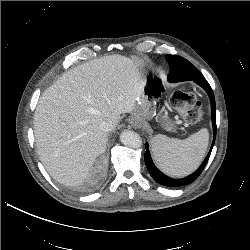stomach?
<instances>
[{
    "label": "stomach",
    "mask_w": 250,
    "mask_h": 250,
    "mask_svg": "<svg viewBox=\"0 0 250 250\" xmlns=\"http://www.w3.org/2000/svg\"><path fill=\"white\" fill-rule=\"evenodd\" d=\"M162 92L163 86L160 81L155 78L145 80L143 95L138 99L131 116V121L135 126L145 125L156 114V102L161 97ZM159 120L164 129L173 130L175 128L166 111L163 110L159 114Z\"/></svg>",
    "instance_id": "obj_1"
}]
</instances>
